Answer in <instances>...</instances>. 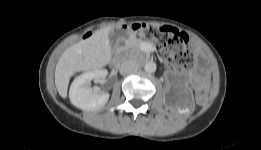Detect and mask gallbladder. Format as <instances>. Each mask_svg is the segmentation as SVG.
Listing matches in <instances>:
<instances>
[{
  "mask_svg": "<svg viewBox=\"0 0 261 150\" xmlns=\"http://www.w3.org/2000/svg\"><path fill=\"white\" fill-rule=\"evenodd\" d=\"M121 36V32L120 31H112L109 34V40H110V44L112 46V48L114 47V45L118 42L119 38Z\"/></svg>",
  "mask_w": 261,
  "mask_h": 150,
  "instance_id": "gallbladder-1",
  "label": "gallbladder"
}]
</instances>
